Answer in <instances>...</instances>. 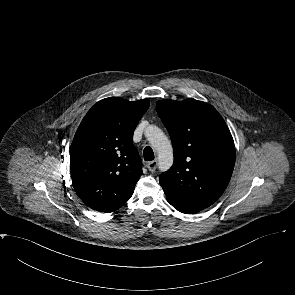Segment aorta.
I'll return each mask as SVG.
<instances>
[{
  "label": "aorta",
  "mask_w": 295,
  "mask_h": 295,
  "mask_svg": "<svg viewBox=\"0 0 295 295\" xmlns=\"http://www.w3.org/2000/svg\"><path fill=\"white\" fill-rule=\"evenodd\" d=\"M145 136L158 155L159 169L168 170L173 163V149L170 140L160 128L154 125L146 128Z\"/></svg>",
  "instance_id": "aorta-1"
}]
</instances>
